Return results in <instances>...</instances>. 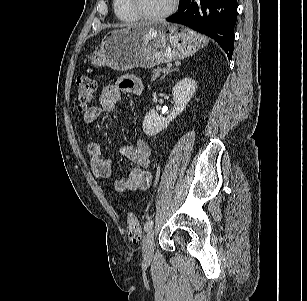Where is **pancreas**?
Masks as SVG:
<instances>
[{
    "label": "pancreas",
    "mask_w": 307,
    "mask_h": 301,
    "mask_svg": "<svg viewBox=\"0 0 307 301\" xmlns=\"http://www.w3.org/2000/svg\"><path fill=\"white\" fill-rule=\"evenodd\" d=\"M168 72L169 69L167 68L157 67L153 70L151 79L155 80L157 77H160L162 73L167 74Z\"/></svg>",
    "instance_id": "cf45deb5"
}]
</instances>
